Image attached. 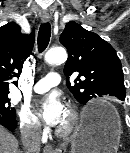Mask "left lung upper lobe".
I'll list each match as a JSON object with an SVG mask.
<instances>
[{
	"mask_svg": "<svg viewBox=\"0 0 130 153\" xmlns=\"http://www.w3.org/2000/svg\"><path fill=\"white\" fill-rule=\"evenodd\" d=\"M60 42L68 50L64 67L67 87L79 103L103 96L125 100L122 65L108 42L75 21L66 24ZM76 72L78 77L71 85L69 77Z\"/></svg>",
	"mask_w": 130,
	"mask_h": 153,
	"instance_id": "left-lung-upper-lobe-1",
	"label": "left lung upper lobe"
}]
</instances>
